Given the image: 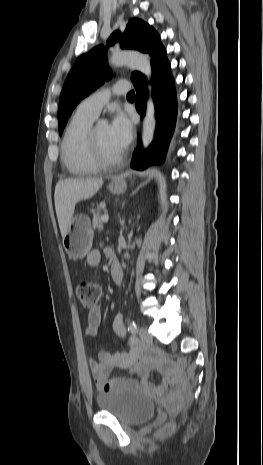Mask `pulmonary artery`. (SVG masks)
I'll use <instances>...</instances> for the list:
<instances>
[{"mask_svg":"<svg viewBox=\"0 0 263 465\" xmlns=\"http://www.w3.org/2000/svg\"><path fill=\"white\" fill-rule=\"evenodd\" d=\"M129 84L118 81L110 88L101 89L86 97L78 105L77 110L83 114L96 118L101 109L107 104L112 94L121 95L129 91Z\"/></svg>","mask_w":263,"mask_h":465,"instance_id":"e3ab8cb5","label":"pulmonary artery"}]
</instances>
